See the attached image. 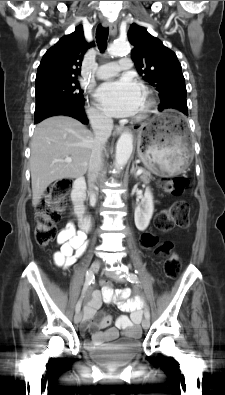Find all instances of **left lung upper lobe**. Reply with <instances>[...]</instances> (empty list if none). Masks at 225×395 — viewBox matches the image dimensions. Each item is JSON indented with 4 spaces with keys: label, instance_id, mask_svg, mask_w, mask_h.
Returning <instances> with one entry per match:
<instances>
[{
    "label": "left lung upper lobe",
    "instance_id": "obj_1",
    "mask_svg": "<svg viewBox=\"0 0 225 395\" xmlns=\"http://www.w3.org/2000/svg\"><path fill=\"white\" fill-rule=\"evenodd\" d=\"M128 39L134 46L131 58L137 71L159 92V109L173 105L188 115L185 79L176 54L135 23L130 26Z\"/></svg>",
    "mask_w": 225,
    "mask_h": 395
}]
</instances>
